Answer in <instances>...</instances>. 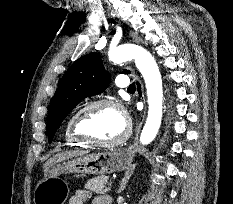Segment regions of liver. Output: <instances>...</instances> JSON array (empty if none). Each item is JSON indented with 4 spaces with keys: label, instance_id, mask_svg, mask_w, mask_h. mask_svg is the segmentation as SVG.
<instances>
[{
    "label": "liver",
    "instance_id": "6515ba94",
    "mask_svg": "<svg viewBox=\"0 0 233 204\" xmlns=\"http://www.w3.org/2000/svg\"><path fill=\"white\" fill-rule=\"evenodd\" d=\"M86 154V152L84 151H78V150H73V151H64L62 153H58L56 155H54L52 158H50L45 164H44V175L47 173V171L49 170V168L58 162L61 161H65L68 160L70 158L73 157H77V156H82Z\"/></svg>",
    "mask_w": 233,
    "mask_h": 204
}]
</instances>
